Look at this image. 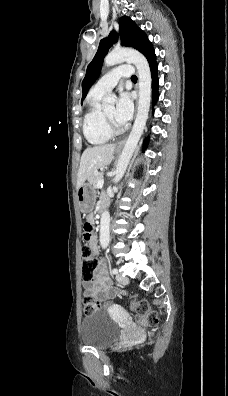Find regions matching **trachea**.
<instances>
[{
    "label": "trachea",
    "mask_w": 228,
    "mask_h": 396,
    "mask_svg": "<svg viewBox=\"0 0 228 396\" xmlns=\"http://www.w3.org/2000/svg\"><path fill=\"white\" fill-rule=\"evenodd\" d=\"M131 80H132V81H137V77H136L135 75H133V76L131 77Z\"/></svg>",
    "instance_id": "trachea-1"
}]
</instances>
